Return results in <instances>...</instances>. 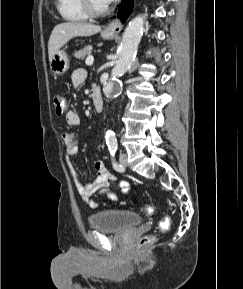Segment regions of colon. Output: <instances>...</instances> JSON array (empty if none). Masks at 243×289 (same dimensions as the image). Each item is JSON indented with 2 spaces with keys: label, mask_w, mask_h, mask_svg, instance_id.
Wrapping results in <instances>:
<instances>
[{
  "label": "colon",
  "mask_w": 243,
  "mask_h": 289,
  "mask_svg": "<svg viewBox=\"0 0 243 289\" xmlns=\"http://www.w3.org/2000/svg\"><path fill=\"white\" fill-rule=\"evenodd\" d=\"M53 104H54V108L56 111L57 115H61L63 114V112L66 109V99L64 97V95L62 94H56L53 98ZM143 212L146 215H151L153 213V208L150 205H145L142 208ZM170 217L169 216H165L159 223V229L162 232H165L169 229L170 227ZM155 237L154 236H145L142 240H141V245L142 246H146L151 244L152 242H154Z\"/></svg>",
  "instance_id": "obj_1"
}]
</instances>
